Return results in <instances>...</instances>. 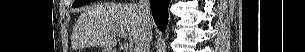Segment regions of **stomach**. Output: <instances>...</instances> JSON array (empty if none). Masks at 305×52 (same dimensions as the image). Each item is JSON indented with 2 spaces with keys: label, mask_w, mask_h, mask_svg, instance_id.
Segmentation results:
<instances>
[{
  "label": "stomach",
  "mask_w": 305,
  "mask_h": 52,
  "mask_svg": "<svg viewBox=\"0 0 305 52\" xmlns=\"http://www.w3.org/2000/svg\"><path fill=\"white\" fill-rule=\"evenodd\" d=\"M105 52H112V51L107 49V51H105Z\"/></svg>",
  "instance_id": "stomach-1"
}]
</instances>
